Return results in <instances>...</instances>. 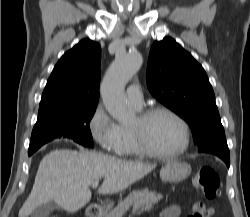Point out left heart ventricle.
<instances>
[{"instance_id": "b2bd125f", "label": "left heart ventricle", "mask_w": 250, "mask_h": 217, "mask_svg": "<svg viewBox=\"0 0 250 217\" xmlns=\"http://www.w3.org/2000/svg\"><path fill=\"white\" fill-rule=\"evenodd\" d=\"M132 128H143L149 143L163 153L175 151L183 144V131L180 124L165 113L155 114L144 126L137 118Z\"/></svg>"}]
</instances>
